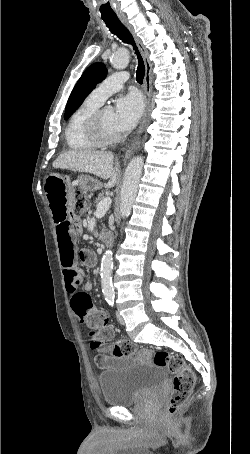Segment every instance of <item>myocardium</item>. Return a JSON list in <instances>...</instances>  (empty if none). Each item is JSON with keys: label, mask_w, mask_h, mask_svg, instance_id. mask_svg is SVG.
Returning a JSON list of instances; mask_svg holds the SVG:
<instances>
[{"label": "myocardium", "mask_w": 250, "mask_h": 454, "mask_svg": "<svg viewBox=\"0 0 250 454\" xmlns=\"http://www.w3.org/2000/svg\"><path fill=\"white\" fill-rule=\"evenodd\" d=\"M105 109H97L87 121V132L89 137L98 145V146H109L113 145L120 141L121 135L109 134L103 127L102 124V113Z\"/></svg>", "instance_id": "1"}]
</instances>
